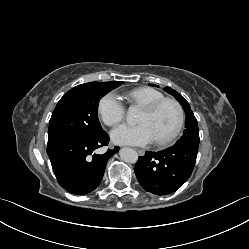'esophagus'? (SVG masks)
<instances>
[{"label": "esophagus", "instance_id": "esophagus-1", "mask_svg": "<svg viewBox=\"0 0 249 249\" xmlns=\"http://www.w3.org/2000/svg\"><path fill=\"white\" fill-rule=\"evenodd\" d=\"M140 156H143L145 154V151L143 149H135Z\"/></svg>", "mask_w": 249, "mask_h": 249}]
</instances>
